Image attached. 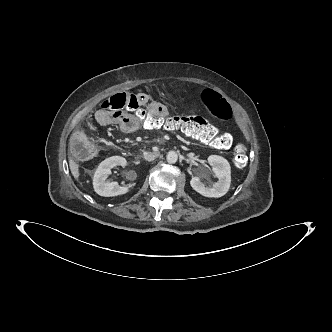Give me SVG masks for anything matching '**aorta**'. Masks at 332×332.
I'll list each match as a JSON object with an SVG mask.
<instances>
[{
	"instance_id": "1",
	"label": "aorta",
	"mask_w": 332,
	"mask_h": 332,
	"mask_svg": "<svg viewBox=\"0 0 332 332\" xmlns=\"http://www.w3.org/2000/svg\"><path fill=\"white\" fill-rule=\"evenodd\" d=\"M166 158L168 163L174 164L177 162L178 155L175 151H169Z\"/></svg>"
}]
</instances>
